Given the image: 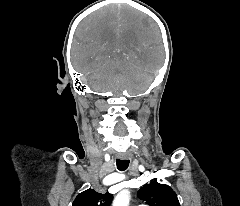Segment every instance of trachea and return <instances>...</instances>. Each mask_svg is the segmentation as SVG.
Masks as SVG:
<instances>
[{
	"label": "trachea",
	"instance_id": "1",
	"mask_svg": "<svg viewBox=\"0 0 240 206\" xmlns=\"http://www.w3.org/2000/svg\"><path fill=\"white\" fill-rule=\"evenodd\" d=\"M128 166H129V160H117V168L120 171L126 170Z\"/></svg>",
	"mask_w": 240,
	"mask_h": 206
}]
</instances>
